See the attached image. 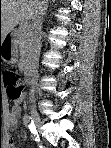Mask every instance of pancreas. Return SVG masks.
<instances>
[{
  "mask_svg": "<svg viewBox=\"0 0 111 148\" xmlns=\"http://www.w3.org/2000/svg\"><path fill=\"white\" fill-rule=\"evenodd\" d=\"M18 45L20 50L19 64L22 68L27 67V51H28V39H29V27L27 25H20L17 30Z\"/></svg>",
  "mask_w": 111,
  "mask_h": 148,
  "instance_id": "obj_1",
  "label": "pancreas"
}]
</instances>
